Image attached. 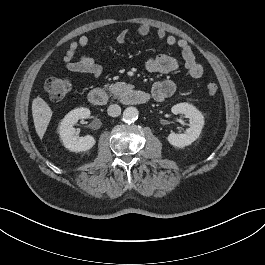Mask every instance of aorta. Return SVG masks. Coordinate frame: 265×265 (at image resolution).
<instances>
[{
  "instance_id": "aorta-1",
  "label": "aorta",
  "mask_w": 265,
  "mask_h": 265,
  "mask_svg": "<svg viewBox=\"0 0 265 265\" xmlns=\"http://www.w3.org/2000/svg\"><path fill=\"white\" fill-rule=\"evenodd\" d=\"M138 109L135 107H127L123 112V118L125 121L134 122L138 119Z\"/></svg>"
}]
</instances>
